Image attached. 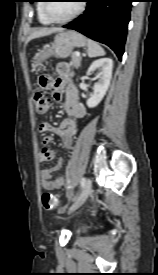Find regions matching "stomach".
<instances>
[{
    "label": "stomach",
    "instance_id": "obj_1",
    "mask_svg": "<svg viewBox=\"0 0 158 275\" xmlns=\"http://www.w3.org/2000/svg\"><path fill=\"white\" fill-rule=\"evenodd\" d=\"M86 41L87 39L77 31H62L55 36L51 44L45 45L43 49L39 50L35 63L39 66L42 61L52 56L63 59L67 58L75 47L85 46Z\"/></svg>",
    "mask_w": 158,
    "mask_h": 275
}]
</instances>
